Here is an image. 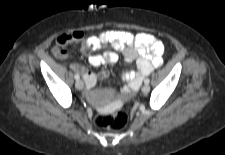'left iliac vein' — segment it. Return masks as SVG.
Masks as SVG:
<instances>
[{
	"mask_svg": "<svg viewBox=\"0 0 225 155\" xmlns=\"http://www.w3.org/2000/svg\"><path fill=\"white\" fill-rule=\"evenodd\" d=\"M150 91V86L148 84H144L142 87L143 93H148Z\"/></svg>",
	"mask_w": 225,
	"mask_h": 155,
	"instance_id": "left-iliac-vein-1",
	"label": "left iliac vein"
}]
</instances>
